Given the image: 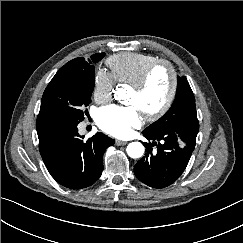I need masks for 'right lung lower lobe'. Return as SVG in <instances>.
Segmentation results:
<instances>
[{"mask_svg": "<svg viewBox=\"0 0 243 243\" xmlns=\"http://www.w3.org/2000/svg\"><path fill=\"white\" fill-rule=\"evenodd\" d=\"M77 125L68 121H36L39 150L46 168L59 184L71 189L86 188L99 179L103 154L114 144L103 133L84 141Z\"/></svg>", "mask_w": 243, "mask_h": 243, "instance_id": "1", "label": "right lung lower lobe"}]
</instances>
